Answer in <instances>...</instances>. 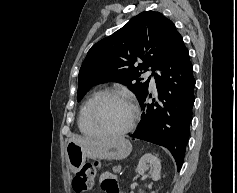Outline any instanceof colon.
<instances>
[{
	"label": "colon",
	"instance_id": "colon-1",
	"mask_svg": "<svg viewBox=\"0 0 237 193\" xmlns=\"http://www.w3.org/2000/svg\"><path fill=\"white\" fill-rule=\"evenodd\" d=\"M96 166L93 164H85L74 176L72 188L75 193H85L88 191L94 181Z\"/></svg>",
	"mask_w": 237,
	"mask_h": 193
}]
</instances>
